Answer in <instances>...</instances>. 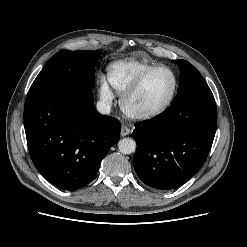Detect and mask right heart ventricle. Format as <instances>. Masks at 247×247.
Listing matches in <instances>:
<instances>
[{
	"mask_svg": "<svg viewBox=\"0 0 247 247\" xmlns=\"http://www.w3.org/2000/svg\"><path fill=\"white\" fill-rule=\"evenodd\" d=\"M153 66L149 61L133 58L115 61L107 68V81L118 94H123L142 72Z\"/></svg>",
	"mask_w": 247,
	"mask_h": 247,
	"instance_id": "obj_1",
	"label": "right heart ventricle"
}]
</instances>
